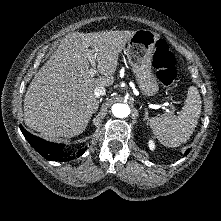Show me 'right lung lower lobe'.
<instances>
[{"label": "right lung lower lobe", "instance_id": "1", "mask_svg": "<svg viewBox=\"0 0 221 221\" xmlns=\"http://www.w3.org/2000/svg\"><path fill=\"white\" fill-rule=\"evenodd\" d=\"M20 129L24 137L30 143V145L37 152H39L45 159L49 161H60V162L69 161V160L74 159L75 157L82 155L86 151V148H84L78 151L76 155L75 154L70 155L64 152L63 144L52 143V142L43 140L39 137H36L32 135L31 133L27 132L22 126H20Z\"/></svg>", "mask_w": 221, "mask_h": 221}]
</instances>
